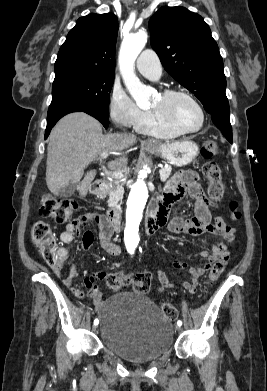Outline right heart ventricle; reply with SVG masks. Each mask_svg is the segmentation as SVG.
Returning <instances> with one entry per match:
<instances>
[{"label":"right heart ventricle","mask_w":267,"mask_h":391,"mask_svg":"<svg viewBox=\"0 0 267 391\" xmlns=\"http://www.w3.org/2000/svg\"><path fill=\"white\" fill-rule=\"evenodd\" d=\"M137 131L163 139L174 138L180 135L179 132L158 122L152 111L147 112L144 122L137 128Z\"/></svg>","instance_id":"e07e8e85"}]
</instances>
